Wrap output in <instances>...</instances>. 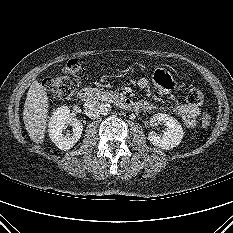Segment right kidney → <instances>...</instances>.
I'll return each instance as SVG.
<instances>
[{
    "label": "right kidney",
    "instance_id": "1",
    "mask_svg": "<svg viewBox=\"0 0 233 233\" xmlns=\"http://www.w3.org/2000/svg\"><path fill=\"white\" fill-rule=\"evenodd\" d=\"M66 124L73 127V132L64 136L62 131ZM48 127L52 142L64 151L69 150L78 142L83 131L81 121L70 117V110L67 106H61L53 112Z\"/></svg>",
    "mask_w": 233,
    "mask_h": 233
}]
</instances>
